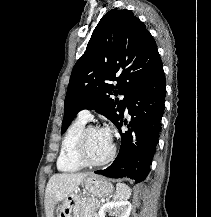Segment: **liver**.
<instances>
[{
	"label": "liver",
	"instance_id": "6515ba94",
	"mask_svg": "<svg viewBox=\"0 0 211 217\" xmlns=\"http://www.w3.org/2000/svg\"><path fill=\"white\" fill-rule=\"evenodd\" d=\"M87 175L84 173H59L49 179L44 202L46 217H53L56 205L75 192Z\"/></svg>",
	"mask_w": 211,
	"mask_h": 217
}]
</instances>
